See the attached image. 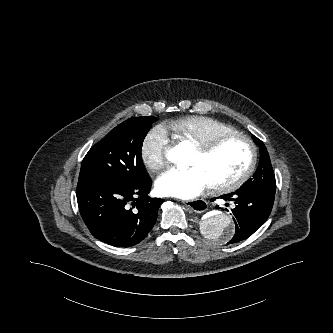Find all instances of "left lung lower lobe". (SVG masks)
I'll return each mask as SVG.
<instances>
[{"mask_svg":"<svg viewBox=\"0 0 333 333\" xmlns=\"http://www.w3.org/2000/svg\"><path fill=\"white\" fill-rule=\"evenodd\" d=\"M220 198L235 203L232 213L236 230L228 242L231 244L248 238L264 224L272 210L275 195L238 189Z\"/></svg>","mask_w":333,"mask_h":333,"instance_id":"1","label":"left lung lower lobe"}]
</instances>
